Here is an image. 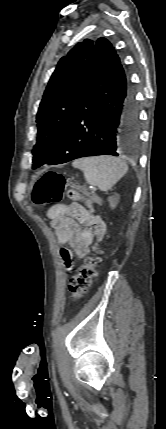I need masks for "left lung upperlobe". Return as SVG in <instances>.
<instances>
[{
    "instance_id": "left-lung-upper-lobe-1",
    "label": "left lung upper lobe",
    "mask_w": 166,
    "mask_h": 429,
    "mask_svg": "<svg viewBox=\"0 0 166 429\" xmlns=\"http://www.w3.org/2000/svg\"><path fill=\"white\" fill-rule=\"evenodd\" d=\"M96 41L85 39L62 57L53 72L37 113L33 169L45 164L60 142L89 77Z\"/></svg>"
}]
</instances>
